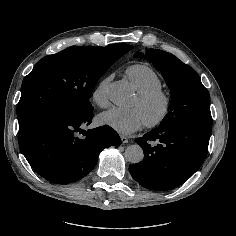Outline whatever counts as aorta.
<instances>
[{
    "instance_id": "762f6f07",
    "label": "aorta",
    "mask_w": 236,
    "mask_h": 236,
    "mask_svg": "<svg viewBox=\"0 0 236 236\" xmlns=\"http://www.w3.org/2000/svg\"><path fill=\"white\" fill-rule=\"evenodd\" d=\"M110 98L116 104H120L125 101L126 95L123 92H114ZM125 157L132 164L139 163L144 158L143 149L138 144L129 145L125 150Z\"/></svg>"
}]
</instances>
